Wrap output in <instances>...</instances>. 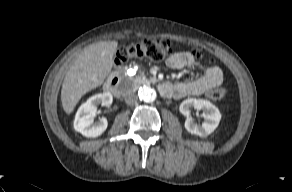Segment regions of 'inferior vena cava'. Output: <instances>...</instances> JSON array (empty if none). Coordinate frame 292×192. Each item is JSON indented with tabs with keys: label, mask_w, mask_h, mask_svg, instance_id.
Wrapping results in <instances>:
<instances>
[{
	"label": "inferior vena cava",
	"mask_w": 292,
	"mask_h": 192,
	"mask_svg": "<svg viewBox=\"0 0 292 192\" xmlns=\"http://www.w3.org/2000/svg\"><path fill=\"white\" fill-rule=\"evenodd\" d=\"M137 102H138V97H137L136 94H134V93H128L125 96V103L127 105L132 106V105L136 104Z\"/></svg>",
	"instance_id": "1"
}]
</instances>
